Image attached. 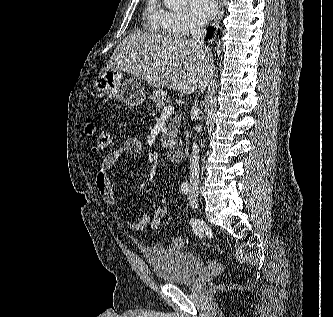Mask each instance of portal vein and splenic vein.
Masks as SVG:
<instances>
[{
    "mask_svg": "<svg viewBox=\"0 0 333 317\" xmlns=\"http://www.w3.org/2000/svg\"><path fill=\"white\" fill-rule=\"evenodd\" d=\"M174 112V107L173 106H164L162 109V114L163 115H170Z\"/></svg>",
    "mask_w": 333,
    "mask_h": 317,
    "instance_id": "portal-vein-and-splenic-vein-1",
    "label": "portal vein and splenic vein"
}]
</instances>
